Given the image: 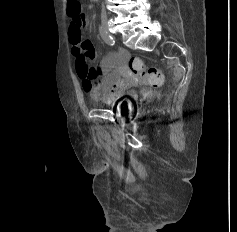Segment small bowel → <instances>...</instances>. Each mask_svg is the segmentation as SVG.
Segmentation results:
<instances>
[{
	"instance_id": "1",
	"label": "small bowel",
	"mask_w": 237,
	"mask_h": 232,
	"mask_svg": "<svg viewBox=\"0 0 237 232\" xmlns=\"http://www.w3.org/2000/svg\"><path fill=\"white\" fill-rule=\"evenodd\" d=\"M86 24L87 18L82 13L80 21L72 19L69 25V41L76 71L84 91L96 101L112 104L124 97L133 86L132 80L124 78L128 75L129 56L124 50L108 54L101 59L97 70L91 65L95 59V48L90 40L83 37Z\"/></svg>"
}]
</instances>
